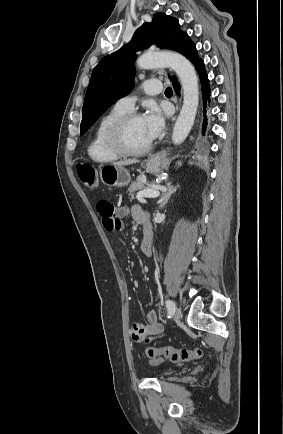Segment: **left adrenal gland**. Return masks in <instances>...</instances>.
<instances>
[{
	"label": "left adrenal gland",
	"instance_id": "1",
	"mask_svg": "<svg viewBox=\"0 0 283 434\" xmlns=\"http://www.w3.org/2000/svg\"><path fill=\"white\" fill-rule=\"evenodd\" d=\"M178 187H174L171 185V183H167V191L165 193L162 194V196L160 197L158 203L159 208L162 209L164 208V206L168 203V200L170 199V197L172 196V194H174L176 192Z\"/></svg>",
	"mask_w": 283,
	"mask_h": 434
}]
</instances>
